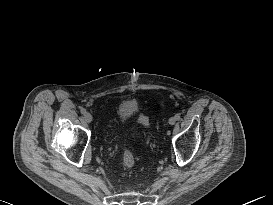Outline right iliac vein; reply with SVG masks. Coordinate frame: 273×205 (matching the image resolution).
<instances>
[{"mask_svg":"<svg viewBox=\"0 0 273 205\" xmlns=\"http://www.w3.org/2000/svg\"><path fill=\"white\" fill-rule=\"evenodd\" d=\"M84 119H85V121H86L87 123H91L92 120H93V117H92V115H91L89 112H86V113L84 114Z\"/></svg>","mask_w":273,"mask_h":205,"instance_id":"1","label":"right iliac vein"}]
</instances>
